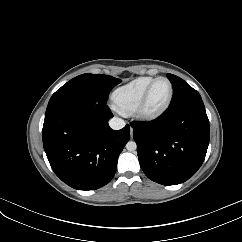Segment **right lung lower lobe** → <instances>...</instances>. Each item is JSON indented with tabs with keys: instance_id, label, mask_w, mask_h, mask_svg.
Here are the masks:
<instances>
[{
	"instance_id": "1",
	"label": "right lung lower lobe",
	"mask_w": 242,
	"mask_h": 242,
	"mask_svg": "<svg viewBox=\"0 0 242 242\" xmlns=\"http://www.w3.org/2000/svg\"><path fill=\"white\" fill-rule=\"evenodd\" d=\"M98 104L95 106V103ZM106 102L88 97L60 101L47 108L43 146L55 174L78 190H95L113 178L130 127L112 130Z\"/></svg>"
}]
</instances>
